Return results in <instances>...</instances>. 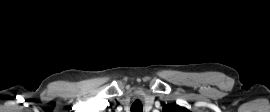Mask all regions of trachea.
Segmentation results:
<instances>
[{"label":"trachea","mask_w":270,"mask_h":112,"mask_svg":"<svg viewBox=\"0 0 270 112\" xmlns=\"http://www.w3.org/2000/svg\"><path fill=\"white\" fill-rule=\"evenodd\" d=\"M143 111V106L140 100H136L132 105H131V112H142Z\"/></svg>","instance_id":"1"}]
</instances>
